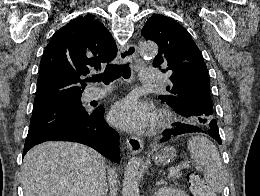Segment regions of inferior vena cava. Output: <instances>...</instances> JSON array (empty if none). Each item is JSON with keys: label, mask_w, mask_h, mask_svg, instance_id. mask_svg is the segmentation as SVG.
Segmentation results:
<instances>
[{"label": "inferior vena cava", "mask_w": 260, "mask_h": 196, "mask_svg": "<svg viewBox=\"0 0 260 196\" xmlns=\"http://www.w3.org/2000/svg\"><path fill=\"white\" fill-rule=\"evenodd\" d=\"M94 196H102V194H100V192H98V190H97V192H95Z\"/></svg>", "instance_id": "1"}]
</instances>
